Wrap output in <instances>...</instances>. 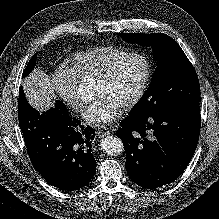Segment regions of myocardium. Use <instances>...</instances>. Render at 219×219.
Wrapping results in <instances>:
<instances>
[{
	"instance_id": "1",
	"label": "myocardium",
	"mask_w": 219,
	"mask_h": 219,
	"mask_svg": "<svg viewBox=\"0 0 219 219\" xmlns=\"http://www.w3.org/2000/svg\"><path fill=\"white\" fill-rule=\"evenodd\" d=\"M138 57L143 60L145 64V73L142 82L129 102L124 104L121 108L124 111L133 109L143 99L152 79L153 75V62L148 54L142 51H132L118 58L114 61L101 75L98 77V81L108 82L119 70V68L130 58Z\"/></svg>"
}]
</instances>
